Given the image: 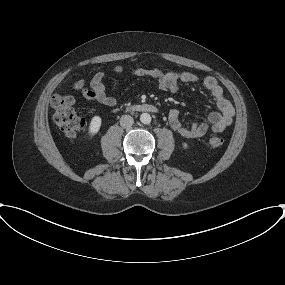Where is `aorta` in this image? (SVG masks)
<instances>
[{
    "instance_id": "aorta-1",
    "label": "aorta",
    "mask_w": 285,
    "mask_h": 285,
    "mask_svg": "<svg viewBox=\"0 0 285 285\" xmlns=\"http://www.w3.org/2000/svg\"><path fill=\"white\" fill-rule=\"evenodd\" d=\"M140 121L143 123V124H149L151 122V116L150 114L148 113H142L140 115Z\"/></svg>"
}]
</instances>
